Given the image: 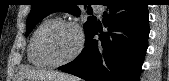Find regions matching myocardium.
<instances>
[{"instance_id":"myocardium-1","label":"myocardium","mask_w":169,"mask_h":81,"mask_svg":"<svg viewBox=\"0 0 169 81\" xmlns=\"http://www.w3.org/2000/svg\"><path fill=\"white\" fill-rule=\"evenodd\" d=\"M58 26H70V27L74 28L78 34V45H77L76 49L74 50V52L66 59L60 60V61H52L48 58V56L45 53L44 39H45L46 35L53 28L58 27ZM83 47H84V34H83L81 27L79 26L78 23L71 21V20H66V19H57V20H54L53 22H51L50 24H48L41 31V33L39 34L38 39H37L38 54H39L40 58L45 62V64L50 67H59V66H62V65L72 62L80 55V53L83 50Z\"/></svg>"}]
</instances>
